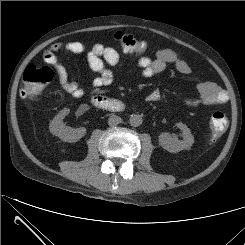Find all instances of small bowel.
<instances>
[{
	"mask_svg": "<svg viewBox=\"0 0 245 245\" xmlns=\"http://www.w3.org/2000/svg\"><path fill=\"white\" fill-rule=\"evenodd\" d=\"M59 52H69L72 54L86 53L90 68L98 73L92 82L95 88L106 87L113 81V71L106 65L122 66L119 53L112 47L101 44L93 45L89 50L81 42H56L53 43L44 53L43 60L51 65L56 72L60 87L75 98L85 95V90L74 80L69 78L68 71L57 56ZM136 66L139 69L141 78L149 79L152 76L164 71L168 67H174L179 73L189 75L191 67L176 52L169 49L158 50L153 57H142L137 60ZM198 96L189 99L186 106L190 108L208 107L224 103L227 95L223 89L212 82H201L198 84ZM159 98L156 92L149 95L150 101Z\"/></svg>",
	"mask_w": 245,
	"mask_h": 245,
	"instance_id": "obj_1",
	"label": "small bowel"
}]
</instances>
